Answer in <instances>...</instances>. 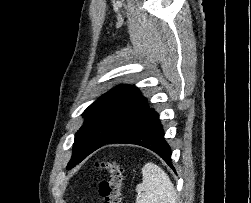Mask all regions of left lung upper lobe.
Here are the masks:
<instances>
[{
    "label": "left lung upper lobe",
    "instance_id": "1",
    "mask_svg": "<svg viewBox=\"0 0 251 203\" xmlns=\"http://www.w3.org/2000/svg\"><path fill=\"white\" fill-rule=\"evenodd\" d=\"M148 109L146 99L132 85H119L102 95L82 113L85 121L75 134L67 169L103 146Z\"/></svg>",
    "mask_w": 251,
    "mask_h": 203
}]
</instances>
